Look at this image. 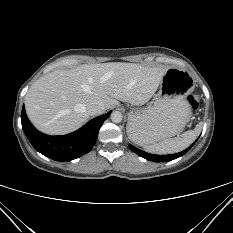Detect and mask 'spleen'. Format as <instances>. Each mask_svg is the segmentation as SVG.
I'll list each match as a JSON object with an SVG mask.
<instances>
[{"label": "spleen", "mask_w": 233, "mask_h": 233, "mask_svg": "<svg viewBox=\"0 0 233 233\" xmlns=\"http://www.w3.org/2000/svg\"><path fill=\"white\" fill-rule=\"evenodd\" d=\"M202 129L199 123L194 130L184 132L180 137L165 139L159 143L146 144L136 134L128 133L129 138L136 144L142 146L147 152L154 154H173L186 149L192 144Z\"/></svg>", "instance_id": "spleen-1"}]
</instances>
